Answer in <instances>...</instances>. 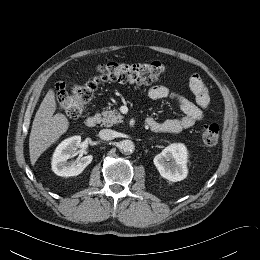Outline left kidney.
<instances>
[{
    "instance_id": "obj_1",
    "label": "left kidney",
    "mask_w": 260,
    "mask_h": 260,
    "mask_svg": "<svg viewBox=\"0 0 260 260\" xmlns=\"http://www.w3.org/2000/svg\"><path fill=\"white\" fill-rule=\"evenodd\" d=\"M187 158L186 147L183 144L174 143L156 155L153 162L163 178L177 182L187 176Z\"/></svg>"
}]
</instances>
